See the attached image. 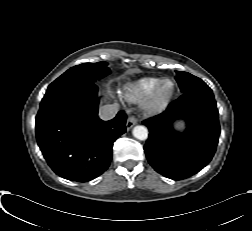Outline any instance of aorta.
Returning <instances> with one entry per match:
<instances>
[{
    "label": "aorta",
    "instance_id": "aorta-1",
    "mask_svg": "<svg viewBox=\"0 0 252 231\" xmlns=\"http://www.w3.org/2000/svg\"><path fill=\"white\" fill-rule=\"evenodd\" d=\"M132 133L133 136L138 140L144 141L148 138V129L145 126L141 125L135 126L133 128Z\"/></svg>",
    "mask_w": 252,
    "mask_h": 231
}]
</instances>
